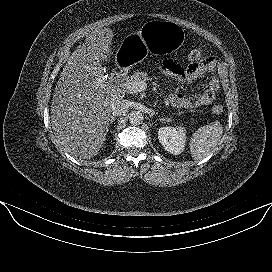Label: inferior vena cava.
<instances>
[{"label": "inferior vena cava", "instance_id": "inferior-vena-cava-1", "mask_svg": "<svg viewBox=\"0 0 272 272\" xmlns=\"http://www.w3.org/2000/svg\"><path fill=\"white\" fill-rule=\"evenodd\" d=\"M128 108V101L124 99H117L111 104V112L114 116H120L125 114Z\"/></svg>", "mask_w": 272, "mask_h": 272}]
</instances>
